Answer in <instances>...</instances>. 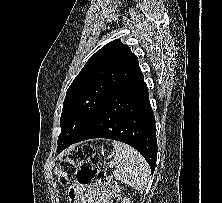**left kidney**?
Returning <instances> with one entry per match:
<instances>
[{
    "mask_svg": "<svg viewBox=\"0 0 222 203\" xmlns=\"http://www.w3.org/2000/svg\"><path fill=\"white\" fill-rule=\"evenodd\" d=\"M121 203H130L129 198L125 197Z\"/></svg>",
    "mask_w": 222,
    "mask_h": 203,
    "instance_id": "obj_1",
    "label": "left kidney"
}]
</instances>
